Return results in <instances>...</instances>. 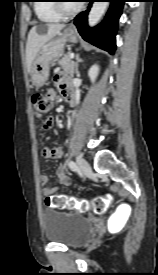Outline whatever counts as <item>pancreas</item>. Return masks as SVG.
<instances>
[{"mask_svg": "<svg viewBox=\"0 0 158 275\" xmlns=\"http://www.w3.org/2000/svg\"><path fill=\"white\" fill-rule=\"evenodd\" d=\"M70 55V53L64 55L62 59L58 60V64L65 73L72 76L76 69V63L71 59Z\"/></svg>", "mask_w": 158, "mask_h": 275, "instance_id": "cf45deb5", "label": "pancreas"}]
</instances>
